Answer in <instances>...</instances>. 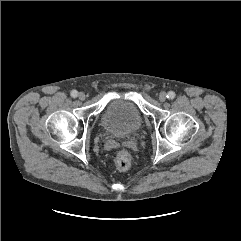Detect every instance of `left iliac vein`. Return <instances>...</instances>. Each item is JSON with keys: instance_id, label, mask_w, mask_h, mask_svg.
<instances>
[{"instance_id": "left-iliac-vein-1", "label": "left iliac vein", "mask_w": 241, "mask_h": 241, "mask_svg": "<svg viewBox=\"0 0 241 241\" xmlns=\"http://www.w3.org/2000/svg\"><path fill=\"white\" fill-rule=\"evenodd\" d=\"M166 98H167V95L165 92L162 91L159 93L158 99L160 102H164L166 100Z\"/></svg>"}]
</instances>
